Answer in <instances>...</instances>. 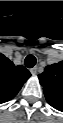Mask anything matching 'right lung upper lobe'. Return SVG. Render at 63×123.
<instances>
[{"label":"right lung upper lobe","instance_id":"right-lung-upper-lobe-1","mask_svg":"<svg viewBox=\"0 0 63 123\" xmlns=\"http://www.w3.org/2000/svg\"><path fill=\"white\" fill-rule=\"evenodd\" d=\"M0 70V101L7 102L16 96L31 74L25 67L15 66L5 56H2Z\"/></svg>","mask_w":63,"mask_h":123}]
</instances>
